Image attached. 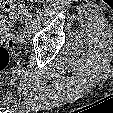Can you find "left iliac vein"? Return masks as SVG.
<instances>
[{
    "mask_svg": "<svg viewBox=\"0 0 113 113\" xmlns=\"http://www.w3.org/2000/svg\"><path fill=\"white\" fill-rule=\"evenodd\" d=\"M28 37L29 36H28V33H27V27L24 26L20 31V35H19L18 40H19L20 43H23L28 39Z\"/></svg>",
    "mask_w": 113,
    "mask_h": 113,
    "instance_id": "left-iliac-vein-1",
    "label": "left iliac vein"
}]
</instances>
